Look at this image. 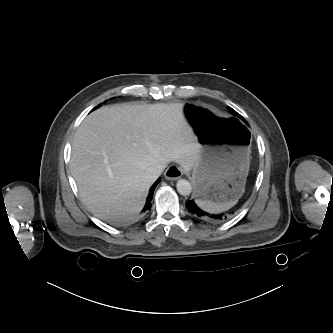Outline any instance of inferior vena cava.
Here are the masks:
<instances>
[{"mask_svg": "<svg viewBox=\"0 0 333 333\" xmlns=\"http://www.w3.org/2000/svg\"><path fill=\"white\" fill-rule=\"evenodd\" d=\"M165 166L150 167L146 172V177L156 180L163 172Z\"/></svg>", "mask_w": 333, "mask_h": 333, "instance_id": "obj_1", "label": "inferior vena cava"}]
</instances>
